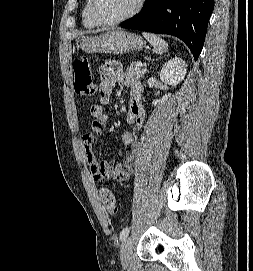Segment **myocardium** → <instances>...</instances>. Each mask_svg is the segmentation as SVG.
I'll use <instances>...</instances> for the list:
<instances>
[{
  "label": "myocardium",
  "instance_id": "obj_1",
  "mask_svg": "<svg viewBox=\"0 0 253 271\" xmlns=\"http://www.w3.org/2000/svg\"><path fill=\"white\" fill-rule=\"evenodd\" d=\"M145 2H146V0H137L136 5L129 13H127L126 15L122 16L119 19L109 21V22L101 20L99 18V16L97 15L96 9H95L96 0H90L89 11H90V15H91L93 21L95 22V24L97 26L112 27V26H116L120 23H123V22L133 18L134 16H136L142 10Z\"/></svg>",
  "mask_w": 253,
  "mask_h": 271
}]
</instances>
